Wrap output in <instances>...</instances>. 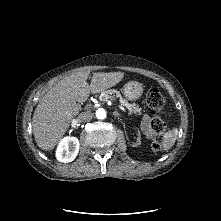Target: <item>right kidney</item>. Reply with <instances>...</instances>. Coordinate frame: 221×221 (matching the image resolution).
<instances>
[{
	"label": "right kidney",
	"mask_w": 221,
	"mask_h": 221,
	"mask_svg": "<svg viewBox=\"0 0 221 221\" xmlns=\"http://www.w3.org/2000/svg\"><path fill=\"white\" fill-rule=\"evenodd\" d=\"M79 140L76 137H65L56 150L57 160L63 163L73 161L79 152Z\"/></svg>",
	"instance_id": "1"
}]
</instances>
